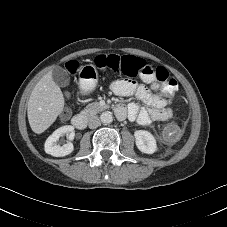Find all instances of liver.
Wrapping results in <instances>:
<instances>
[{
	"label": "liver",
	"instance_id": "6515ba94",
	"mask_svg": "<svg viewBox=\"0 0 227 227\" xmlns=\"http://www.w3.org/2000/svg\"><path fill=\"white\" fill-rule=\"evenodd\" d=\"M64 97L52 78V71L45 74L31 92L27 116L32 131L41 134L57 119L64 108Z\"/></svg>",
	"mask_w": 227,
	"mask_h": 227
}]
</instances>
